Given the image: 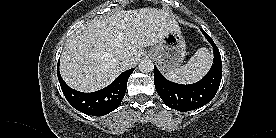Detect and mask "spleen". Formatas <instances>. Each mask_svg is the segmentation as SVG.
Segmentation results:
<instances>
[{
  "label": "spleen",
  "mask_w": 276,
  "mask_h": 138,
  "mask_svg": "<svg viewBox=\"0 0 276 138\" xmlns=\"http://www.w3.org/2000/svg\"><path fill=\"white\" fill-rule=\"evenodd\" d=\"M211 54L205 47L198 49L186 65L168 71L165 76L176 83L191 84L200 80L211 64Z\"/></svg>",
  "instance_id": "obj_1"
}]
</instances>
